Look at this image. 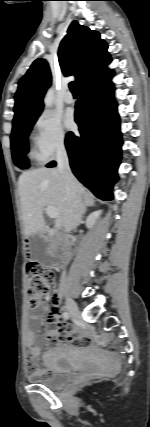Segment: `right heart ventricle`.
<instances>
[{"label": "right heart ventricle", "mask_w": 150, "mask_h": 427, "mask_svg": "<svg viewBox=\"0 0 150 427\" xmlns=\"http://www.w3.org/2000/svg\"><path fill=\"white\" fill-rule=\"evenodd\" d=\"M28 156L32 159H35L37 161H41L42 157L40 156L39 152L37 151L35 146H31L28 151Z\"/></svg>", "instance_id": "right-heart-ventricle-1"}]
</instances>
